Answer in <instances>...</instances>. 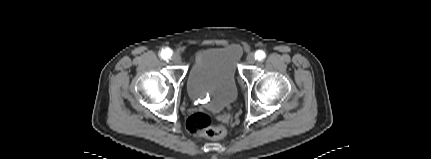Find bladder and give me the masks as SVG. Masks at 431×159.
Segmentation results:
<instances>
[{"instance_id": "31cf9c89", "label": "bladder", "mask_w": 431, "mask_h": 159, "mask_svg": "<svg viewBox=\"0 0 431 159\" xmlns=\"http://www.w3.org/2000/svg\"><path fill=\"white\" fill-rule=\"evenodd\" d=\"M240 55L235 44L199 52L187 77L190 98L214 112L230 107L238 95L236 67Z\"/></svg>"}]
</instances>
